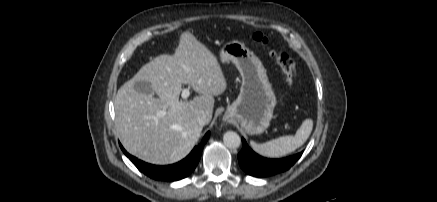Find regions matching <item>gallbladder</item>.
I'll list each match as a JSON object with an SVG mask.
<instances>
[{
	"label": "gallbladder",
	"instance_id": "obj_1",
	"mask_svg": "<svg viewBox=\"0 0 437 202\" xmlns=\"http://www.w3.org/2000/svg\"><path fill=\"white\" fill-rule=\"evenodd\" d=\"M134 89L138 93H142L145 95L153 94V88L149 82L146 81H137L134 85Z\"/></svg>",
	"mask_w": 437,
	"mask_h": 202
}]
</instances>
